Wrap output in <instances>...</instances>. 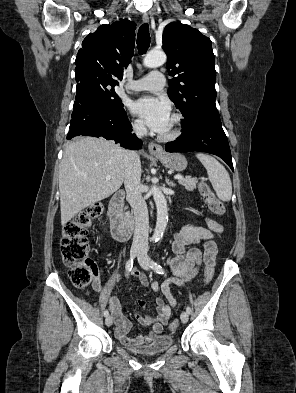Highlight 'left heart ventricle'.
<instances>
[{
	"instance_id": "left-heart-ventricle-1",
	"label": "left heart ventricle",
	"mask_w": 296,
	"mask_h": 393,
	"mask_svg": "<svg viewBox=\"0 0 296 393\" xmlns=\"http://www.w3.org/2000/svg\"><path fill=\"white\" fill-rule=\"evenodd\" d=\"M172 127H173V119H172V117H170V120H169L166 128L161 132V134L169 133L171 131Z\"/></svg>"
}]
</instances>
